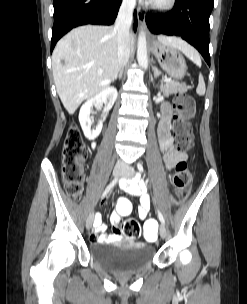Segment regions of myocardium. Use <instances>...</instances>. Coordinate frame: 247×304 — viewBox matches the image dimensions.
<instances>
[{
  "instance_id": "f54148a6",
  "label": "myocardium",
  "mask_w": 247,
  "mask_h": 304,
  "mask_svg": "<svg viewBox=\"0 0 247 304\" xmlns=\"http://www.w3.org/2000/svg\"><path fill=\"white\" fill-rule=\"evenodd\" d=\"M176 4V0H163V1H153L150 4L152 10L159 13H166L171 11Z\"/></svg>"
}]
</instances>
